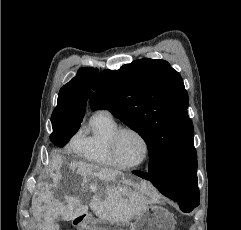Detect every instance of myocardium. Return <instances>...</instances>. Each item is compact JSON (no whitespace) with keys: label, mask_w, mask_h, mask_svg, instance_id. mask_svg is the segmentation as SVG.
Segmentation results:
<instances>
[{"label":"myocardium","mask_w":241,"mask_h":230,"mask_svg":"<svg viewBox=\"0 0 241 230\" xmlns=\"http://www.w3.org/2000/svg\"><path fill=\"white\" fill-rule=\"evenodd\" d=\"M125 132H132L134 134H136L144 143L145 146V153H144V157L141 161H139L136 164H125L119 161L118 156H117V145H118V141L121 137V135ZM109 154L110 157L112 159V161L114 162L115 166L122 168V169H136L141 167L149 158L150 156V144L148 139L146 138V136L138 129L132 127V126H119L110 136L109 139Z\"/></svg>","instance_id":"f54148a6"}]
</instances>
